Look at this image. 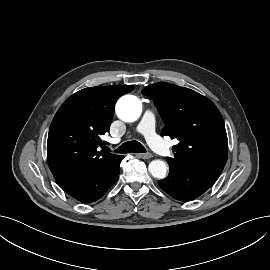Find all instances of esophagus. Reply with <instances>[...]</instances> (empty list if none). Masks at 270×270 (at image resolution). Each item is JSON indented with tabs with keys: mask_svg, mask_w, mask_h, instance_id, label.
<instances>
[{
	"mask_svg": "<svg viewBox=\"0 0 270 270\" xmlns=\"http://www.w3.org/2000/svg\"><path fill=\"white\" fill-rule=\"evenodd\" d=\"M137 156L139 158L144 159V160H148V159H150L152 157V154H150V153H140V154H137Z\"/></svg>",
	"mask_w": 270,
	"mask_h": 270,
	"instance_id": "1",
	"label": "esophagus"
}]
</instances>
